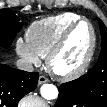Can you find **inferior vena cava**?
<instances>
[{"label":"inferior vena cava","instance_id":"inferior-vena-cava-1","mask_svg":"<svg viewBox=\"0 0 107 107\" xmlns=\"http://www.w3.org/2000/svg\"><path fill=\"white\" fill-rule=\"evenodd\" d=\"M16 66L18 69L27 71V72H32L34 69L33 65L25 59H18L16 61Z\"/></svg>","mask_w":107,"mask_h":107}]
</instances>
